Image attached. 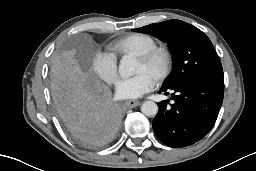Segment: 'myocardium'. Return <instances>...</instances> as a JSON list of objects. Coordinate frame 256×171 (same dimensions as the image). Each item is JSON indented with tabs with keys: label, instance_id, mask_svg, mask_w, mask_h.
<instances>
[{
	"label": "myocardium",
	"instance_id": "1",
	"mask_svg": "<svg viewBox=\"0 0 256 171\" xmlns=\"http://www.w3.org/2000/svg\"><path fill=\"white\" fill-rule=\"evenodd\" d=\"M137 58L147 66H157L153 78L157 84L163 82L172 70V56L166 48L157 46L148 52L137 55Z\"/></svg>",
	"mask_w": 256,
	"mask_h": 171
}]
</instances>
